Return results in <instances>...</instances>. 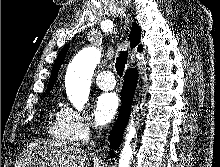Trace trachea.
<instances>
[{
  "mask_svg": "<svg viewBox=\"0 0 220 167\" xmlns=\"http://www.w3.org/2000/svg\"><path fill=\"white\" fill-rule=\"evenodd\" d=\"M127 56V51H121L116 59L115 68L120 77L123 75L125 65L127 64Z\"/></svg>",
  "mask_w": 220,
  "mask_h": 167,
  "instance_id": "obj_1",
  "label": "trachea"
}]
</instances>
